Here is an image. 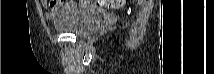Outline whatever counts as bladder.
Masks as SVG:
<instances>
[{
  "label": "bladder",
  "mask_w": 214,
  "mask_h": 74,
  "mask_svg": "<svg viewBox=\"0 0 214 74\" xmlns=\"http://www.w3.org/2000/svg\"><path fill=\"white\" fill-rule=\"evenodd\" d=\"M101 13L89 6H74L66 9L54 23L57 30L85 36L98 25Z\"/></svg>",
  "instance_id": "1"
}]
</instances>
